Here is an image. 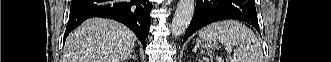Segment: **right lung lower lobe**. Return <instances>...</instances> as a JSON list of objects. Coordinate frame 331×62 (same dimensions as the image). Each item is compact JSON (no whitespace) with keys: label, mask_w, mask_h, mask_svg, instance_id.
<instances>
[{"label":"right lung lower lobe","mask_w":331,"mask_h":62,"mask_svg":"<svg viewBox=\"0 0 331 62\" xmlns=\"http://www.w3.org/2000/svg\"><path fill=\"white\" fill-rule=\"evenodd\" d=\"M152 4L148 0H72L64 39L86 19L109 18L129 27L145 48Z\"/></svg>","instance_id":"obj_1"}]
</instances>
